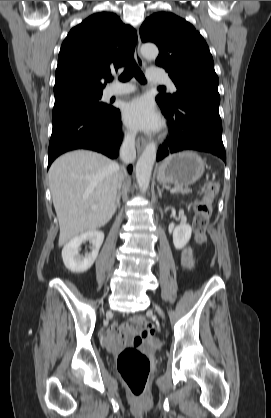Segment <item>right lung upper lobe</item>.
Instances as JSON below:
<instances>
[{
    "label": "right lung upper lobe",
    "mask_w": 271,
    "mask_h": 418,
    "mask_svg": "<svg viewBox=\"0 0 271 418\" xmlns=\"http://www.w3.org/2000/svg\"><path fill=\"white\" fill-rule=\"evenodd\" d=\"M136 41V31L110 12L93 14L72 28L59 52L55 102L102 94L103 80L133 58Z\"/></svg>",
    "instance_id": "cb5924a9"
}]
</instances>
